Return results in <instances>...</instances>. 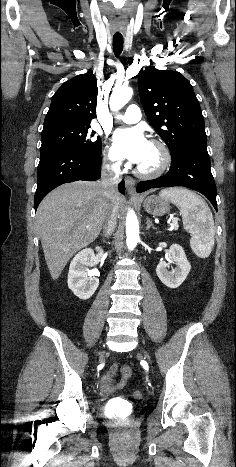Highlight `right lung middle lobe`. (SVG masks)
Listing matches in <instances>:
<instances>
[{"label": "right lung middle lobe", "mask_w": 236, "mask_h": 467, "mask_svg": "<svg viewBox=\"0 0 236 467\" xmlns=\"http://www.w3.org/2000/svg\"><path fill=\"white\" fill-rule=\"evenodd\" d=\"M89 128L90 125H58L43 129L40 154L57 148H71L101 155V139H93L95 132L90 133Z\"/></svg>", "instance_id": "obj_1"}]
</instances>
